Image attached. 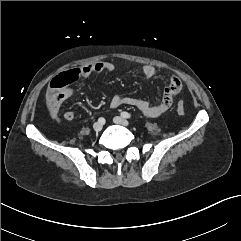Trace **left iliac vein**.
I'll list each match as a JSON object with an SVG mask.
<instances>
[{"mask_svg":"<svg viewBox=\"0 0 241 241\" xmlns=\"http://www.w3.org/2000/svg\"><path fill=\"white\" fill-rule=\"evenodd\" d=\"M113 121H114V123L119 124V125H123V126L129 125V122L126 119L119 117V116L114 117Z\"/></svg>","mask_w":241,"mask_h":241,"instance_id":"4c4485c4","label":"left iliac vein"}]
</instances>
